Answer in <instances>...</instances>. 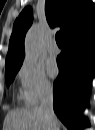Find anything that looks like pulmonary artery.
Returning a JSON list of instances; mask_svg holds the SVG:
<instances>
[{
    "mask_svg": "<svg viewBox=\"0 0 95 130\" xmlns=\"http://www.w3.org/2000/svg\"><path fill=\"white\" fill-rule=\"evenodd\" d=\"M48 51L51 54H58L59 53V47L57 46L55 41H52L48 46Z\"/></svg>",
    "mask_w": 95,
    "mask_h": 130,
    "instance_id": "pulmonary-artery-1",
    "label": "pulmonary artery"
}]
</instances>
